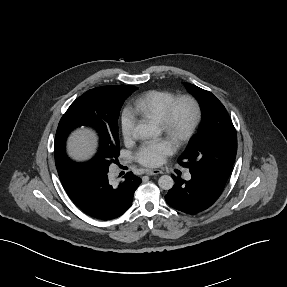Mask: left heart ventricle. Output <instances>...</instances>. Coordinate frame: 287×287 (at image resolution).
Segmentation results:
<instances>
[{"label": "left heart ventricle", "instance_id": "left-heart-ventricle-1", "mask_svg": "<svg viewBox=\"0 0 287 287\" xmlns=\"http://www.w3.org/2000/svg\"><path fill=\"white\" fill-rule=\"evenodd\" d=\"M189 111L186 106L179 107L177 111V120L180 124H184L188 119Z\"/></svg>", "mask_w": 287, "mask_h": 287}]
</instances>
